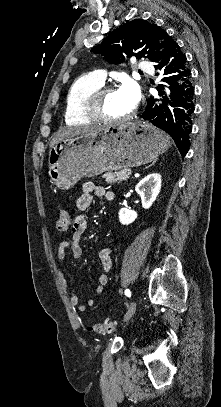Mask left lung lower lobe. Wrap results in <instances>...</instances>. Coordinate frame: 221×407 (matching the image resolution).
Masks as SVG:
<instances>
[{
  "label": "left lung lower lobe",
  "mask_w": 221,
  "mask_h": 407,
  "mask_svg": "<svg viewBox=\"0 0 221 407\" xmlns=\"http://www.w3.org/2000/svg\"><path fill=\"white\" fill-rule=\"evenodd\" d=\"M155 68L162 71L166 85L157 87L161 98L150 97L141 118L168 133L185 156L190 146L194 87L186 56L174 40L166 44Z\"/></svg>",
  "instance_id": "obj_1"
}]
</instances>
